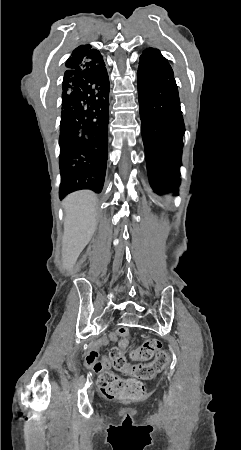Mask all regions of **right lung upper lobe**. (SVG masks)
I'll use <instances>...</instances> for the list:
<instances>
[{
  "instance_id": "obj_1",
  "label": "right lung upper lobe",
  "mask_w": 241,
  "mask_h": 450,
  "mask_svg": "<svg viewBox=\"0 0 241 450\" xmlns=\"http://www.w3.org/2000/svg\"><path fill=\"white\" fill-rule=\"evenodd\" d=\"M103 60L100 52L85 44L75 48L66 62L67 70L78 69L99 64Z\"/></svg>"
}]
</instances>
